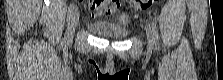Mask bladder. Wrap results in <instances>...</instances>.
Returning a JSON list of instances; mask_svg holds the SVG:
<instances>
[{"mask_svg":"<svg viewBox=\"0 0 223 80\" xmlns=\"http://www.w3.org/2000/svg\"><path fill=\"white\" fill-rule=\"evenodd\" d=\"M89 28L95 34L110 39H123L129 35L128 29L112 24L92 23Z\"/></svg>","mask_w":223,"mask_h":80,"instance_id":"1","label":"bladder"}]
</instances>
